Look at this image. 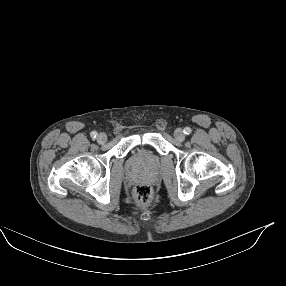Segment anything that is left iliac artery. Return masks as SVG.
<instances>
[{
    "instance_id": "44dca946",
    "label": "left iliac artery",
    "mask_w": 286,
    "mask_h": 286,
    "mask_svg": "<svg viewBox=\"0 0 286 286\" xmlns=\"http://www.w3.org/2000/svg\"><path fill=\"white\" fill-rule=\"evenodd\" d=\"M191 132H192V130H191L190 127H186V128L184 129V133L187 134V135H189Z\"/></svg>"
}]
</instances>
